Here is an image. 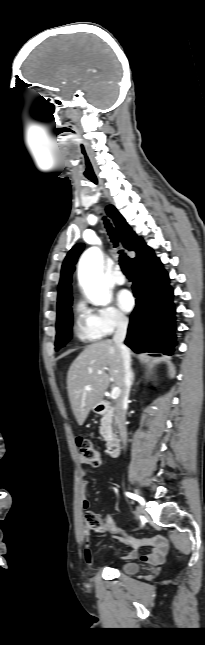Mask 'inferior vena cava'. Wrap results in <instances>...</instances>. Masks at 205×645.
Here are the masks:
<instances>
[{"instance_id":"602c4592","label":"inferior vena cava","mask_w":205,"mask_h":645,"mask_svg":"<svg viewBox=\"0 0 205 645\" xmlns=\"http://www.w3.org/2000/svg\"><path fill=\"white\" fill-rule=\"evenodd\" d=\"M128 327V320L125 317H119L117 321V328L113 336V341L120 350L123 366V392L116 404V424L118 426L119 435L124 446L127 444V428H126V406L130 387L132 385V370H131V357L130 350L123 344L126 337Z\"/></svg>"}]
</instances>
